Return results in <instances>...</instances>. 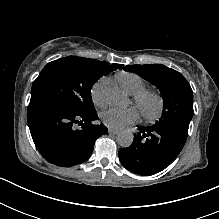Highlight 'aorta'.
<instances>
[{
  "instance_id": "1",
  "label": "aorta",
  "mask_w": 219,
  "mask_h": 219,
  "mask_svg": "<svg viewBox=\"0 0 219 219\" xmlns=\"http://www.w3.org/2000/svg\"><path fill=\"white\" fill-rule=\"evenodd\" d=\"M107 103L116 107H126L128 104V98L121 93L118 89L108 88L105 92ZM134 136L132 132L123 130L116 138L117 143L123 147H129L133 142Z\"/></svg>"
}]
</instances>
